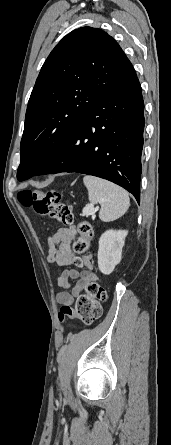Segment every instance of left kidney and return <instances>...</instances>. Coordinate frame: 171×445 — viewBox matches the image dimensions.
Segmentation results:
<instances>
[{
  "instance_id": "obj_1",
  "label": "left kidney",
  "mask_w": 171,
  "mask_h": 445,
  "mask_svg": "<svg viewBox=\"0 0 171 445\" xmlns=\"http://www.w3.org/2000/svg\"><path fill=\"white\" fill-rule=\"evenodd\" d=\"M128 232L126 230H107L99 239L98 267L99 270L109 275L114 271L122 258V248Z\"/></svg>"
}]
</instances>
